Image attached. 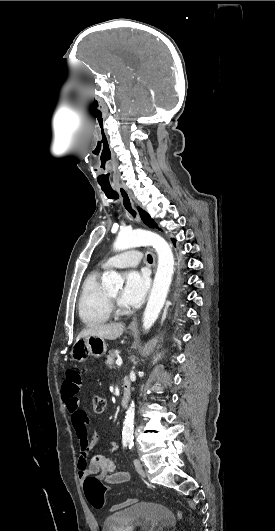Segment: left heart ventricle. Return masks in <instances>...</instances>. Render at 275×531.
Listing matches in <instances>:
<instances>
[{
    "mask_svg": "<svg viewBox=\"0 0 275 531\" xmlns=\"http://www.w3.org/2000/svg\"><path fill=\"white\" fill-rule=\"evenodd\" d=\"M110 294H112L113 296H115L116 298H119L120 296V293H121V288H117V289H114V290H107Z\"/></svg>",
    "mask_w": 275,
    "mask_h": 531,
    "instance_id": "obj_1",
    "label": "left heart ventricle"
}]
</instances>
